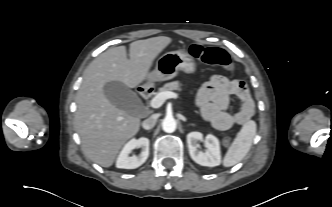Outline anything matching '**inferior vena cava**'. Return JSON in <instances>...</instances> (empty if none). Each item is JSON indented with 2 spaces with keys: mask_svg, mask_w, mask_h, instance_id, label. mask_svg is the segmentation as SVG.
<instances>
[{
  "mask_svg": "<svg viewBox=\"0 0 332 207\" xmlns=\"http://www.w3.org/2000/svg\"><path fill=\"white\" fill-rule=\"evenodd\" d=\"M157 118L155 115L150 116L142 122V127L146 130L152 129L156 124Z\"/></svg>",
  "mask_w": 332,
  "mask_h": 207,
  "instance_id": "602c4592",
  "label": "inferior vena cava"
}]
</instances>
